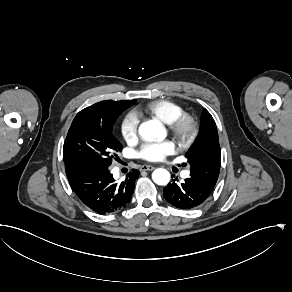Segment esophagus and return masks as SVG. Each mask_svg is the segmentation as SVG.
I'll list each match as a JSON object with an SVG mask.
<instances>
[{
	"mask_svg": "<svg viewBox=\"0 0 292 292\" xmlns=\"http://www.w3.org/2000/svg\"><path fill=\"white\" fill-rule=\"evenodd\" d=\"M154 169H155V167L151 166V165H142L140 167V171H152Z\"/></svg>",
	"mask_w": 292,
	"mask_h": 292,
	"instance_id": "34e87169",
	"label": "esophagus"
}]
</instances>
